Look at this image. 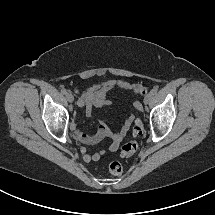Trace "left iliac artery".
Masks as SVG:
<instances>
[{
    "mask_svg": "<svg viewBox=\"0 0 215 215\" xmlns=\"http://www.w3.org/2000/svg\"><path fill=\"white\" fill-rule=\"evenodd\" d=\"M157 93V89L156 88H153L151 91H150V94L151 95H155Z\"/></svg>",
    "mask_w": 215,
    "mask_h": 215,
    "instance_id": "1",
    "label": "left iliac artery"
}]
</instances>
